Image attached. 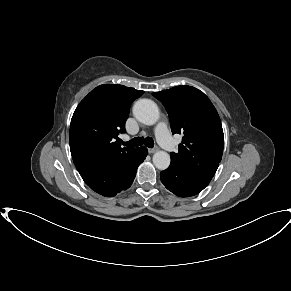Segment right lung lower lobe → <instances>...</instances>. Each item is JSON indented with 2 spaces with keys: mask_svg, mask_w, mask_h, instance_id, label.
I'll return each instance as SVG.
<instances>
[{
  "mask_svg": "<svg viewBox=\"0 0 291 291\" xmlns=\"http://www.w3.org/2000/svg\"><path fill=\"white\" fill-rule=\"evenodd\" d=\"M146 156L147 149L142 146L112 163L76 160L74 164L84 182L93 191L112 197L131 186L137 168Z\"/></svg>",
  "mask_w": 291,
  "mask_h": 291,
  "instance_id": "1",
  "label": "right lung lower lobe"
}]
</instances>
